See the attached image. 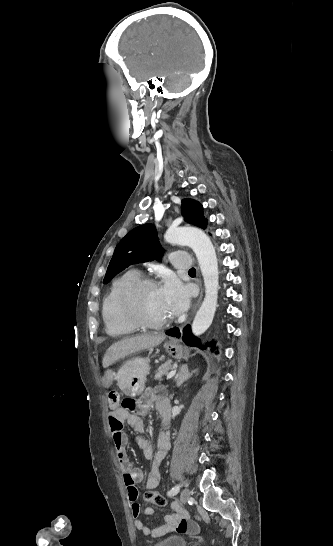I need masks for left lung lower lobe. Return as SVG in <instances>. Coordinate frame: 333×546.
Masks as SVG:
<instances>
[{
    "mask_svg": "<svg viewBox=\"0 0 333 546\" xmlns=\"http://www.w3.org/2000/svg\"><path fill=\"white\" fill-rule=\"evenodd\" d=\"M166 334L169 336L178 337V338L181 336L179 328L177 327L168 330ZM182 340L188 346H198L199 348L204 349V347L200 345V340L192 334L190 325H187L184 328ZM210 345L211 343L207 344L206 346H210ZM214 349H215V344H212V350Z\"/></svg>",
    "mask_w": 333,
    "mask_h": 546,
    "instance_id": "1",
    "label": "left lung lower lobe"
}]
</instances>
